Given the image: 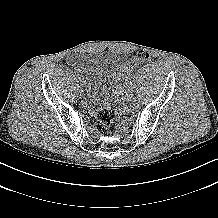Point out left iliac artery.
Listing matches in <instances>:
<instances>
[{
	"label": "left iliac artery",
	"instance_id": "left-iliac-artery-1",
	"mask_svg": "<svg viewBox=\"0 0 218 218\" xmlns=\"http://www.w3.org/2000/svg\"><path fill=\"white\" fill-rule=\"evenodd\" d=\"M130 96L133 94V92L131 90H129V93H128Z\"/></svg>",
	"mask_w": 218,
	"mask_h": 218
}]
</instances>
